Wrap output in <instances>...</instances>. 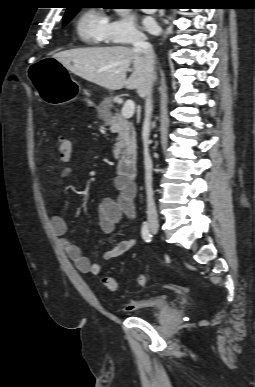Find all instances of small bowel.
<instances>
[{"label":"small bowel","mask_w":255,"mask_h":387,"mask_svg":"<svg viewBox=\"0 0 255 387\" xmlns=\"http://www.w3.org/2000/svg\"><path fill=\"white\" fill-rule=\"evenodd\" d=\"M74 156L73 152L68 156H61V161H69ZM73 174L71 167H64L61 169L58 177V182L62 183L64 180L70 178ZM114 187L118 194L116 197L106 196L98 203L99 225L101 230L106 234H113L117 224L123 216L134 218L136 215L134 206L135 188L133 183L124 180L123 178H116L114 180ZM50 225L53 233L60 240V243L75 265L76 269L81 273H91L98 275L101 273L103 263L112 259L118 258L136 246V240L133 238L120 240L113 247L102 252L101 260L91 262L89 258L85 257L80 248L73 244L66 238L68 225L65 219L60 215H53L50 220ZM138 301H132L127 309L132 311L137 305Z\"/></svg>","instance_id":"1"}]
</instances>
